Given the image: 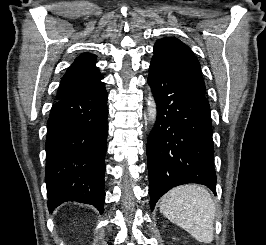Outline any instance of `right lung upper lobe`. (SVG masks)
Returning a JSON list of instances; mask_svg holds the SVG:
<instances>
[{"instance_id":"cb5924a9","label":"right lung upper lobe","mask_w":266,"mask_h":245,"mask_svg":"<svg viewBox=\"0 0 266 245\" xmlns=\"http://www.w3.org/2000/svg\"><path fill=\"white\" fill-rule=\"evenodd\" d=\"M96 62L95 55L89 53L81 54L63 76L58 89L57 100L80 86L100 82L102 75L95 66Z\"/></svg>"}]
</instances>
